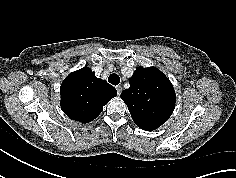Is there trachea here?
Listing matches in <instances>:
<instances>
[{"label": "trachea", "mask_w": 236, "mask_h": 178, "mask_svg": "<svg viewBox=\"0 0 236 178\" xmlns=\"http://www.w3.org/2000/svg\"><path fill=\"white\" fill-rule=\"evenodd\" d=\"M108 82L112 85H118L120 82V77L117 74L113 73L108 77Z\"/></svg>", "instance_id": "trachea-1"}]
</instances>
